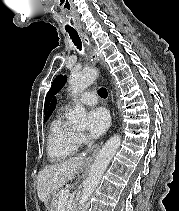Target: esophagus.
Returning <instances> with one entry per match:
<instances>
[{
    "label": "esophagus",
    "instance_id": "esophagus-1",
    "mask_svg": "<svg viewBox=\"0 0 179 211\" xmlns=\"http://www.w3.org/2000/svg\"><path fill=\"white\" fill-rule=\"evenodd\" d=\"M81 36L90 52L91 62L93 65H95L99 59L98 55L95 52L94 48L92 47V44L88 36L84 32H81ZM113 116H114V113H113ZM100 147L101 145H96L95 147H87V151H85V154H82V159H86V163H96V158H94V156H96V152H100Z\"/></svg>",
    "mask_w": 179,
    "mask_h": 211
}]
</instances>
